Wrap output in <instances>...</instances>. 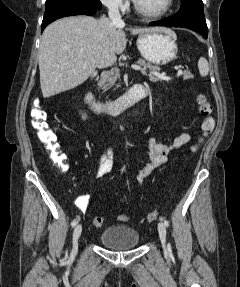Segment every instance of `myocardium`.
I'll list each match as a JSON object with an SVG mask.
<instances>
[{"label": "myocardium", "mask_w": 240, "mask_h": 287, "mask_svg": "<svg viewBox=\"0 0 240 287\" xmlns=\"http://www.w3.org/2000/svg\"><path fill=\"white\" fill-rule=\"evenodd\" d=\"M173 5V0H165V3L162 8L159 10H147L142 8L136 0H134V9L135 11L145 17L148 18H160L165 16L166 14L169 13Z\"/></svg>", "instance_id": "1"}]
</instances>
